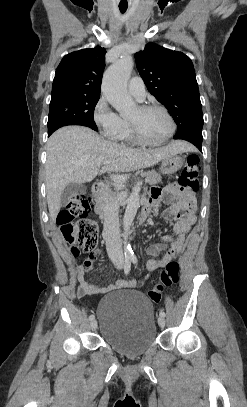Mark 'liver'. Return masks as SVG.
Masks as SVG:
<instances>
[{"mask_svg":"<svg viewBox=\"0 0 247 407\" xmlns=\"http://www.w3.org/2000/svg\"><path fill=\"white\" fill-rule=\"evenodd\" d=\"M191 149L184 141H172L157 149H134L107 141L87 127L60 128L47 142L45 172L49 216L54 222L61 208L62 191L71 183L90 182L106 171L130 172L151 167L169 155ZM105 161L111 162L100 170Z\"/></svg>","mask_w":247,"mask_h":407,"instance_id":"1","label":"liver"}]
</instances>
